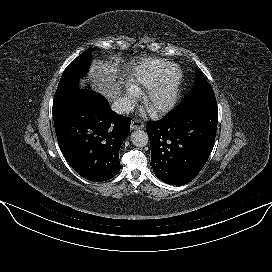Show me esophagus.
<instances>
[{"label": "esophagus", "mask_w": 272, "mask_h": 272, "mask_svg": "<svg viewBox=\"0 0 272 272\" xmlns=\"http://www.w3.org/2000/svg\"><path fill=\"white\" fill-rule=\"evenodd\" d=\"M131 130H137L144 128V124L141 120L135 119L131 122L130 125Z\"/></svg>", "instance_id": "34e87169"}]
</instances>
